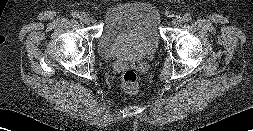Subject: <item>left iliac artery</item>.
Segmentation results:
<instances>
[{"label":"left iliac artery","instance_id":"1","mask_svg":"<svg viewBox=\"0 0 253 131\" xmlns=\"http://www.w3.org/2000/svg\"><path fill=\"white\" fill-rule=\"evenodd\" d=\"M181 19L184 22H189L192 19V17L190 14H185Z\"/></svg>","mask_w":253,"mask_h":131}]
</instances>
